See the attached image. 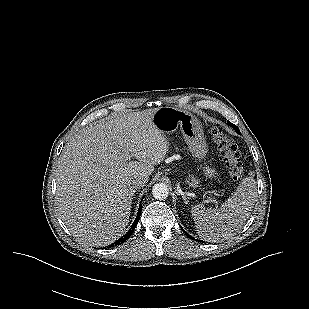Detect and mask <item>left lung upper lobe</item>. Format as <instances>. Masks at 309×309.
I'll list each match as a JSON object with an SVG mask.
<instances>
[{"label":"left lung upper lobe","instance_id":"left-lung-upper-lobe-1","mask_svg":"<svg viewBox=\"0 0 309 309\" xmlns=\"http://www.w3.org/2000/svg\"><path fill=\"white\" fill-rule=\"evenodd\" d=\"M228 124H229L230 127H232L233 129H235V131H236L237 133H240V131H239V129H238V127H237L236 125H234L233 123H231V122H229V121H228Z\"/></svg>","mask_w":309,"mask_h":309}]
</instances>
